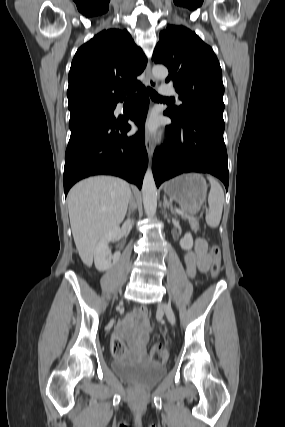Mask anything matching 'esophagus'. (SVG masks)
<instances>
[{"label": "esophagus", "instance_id": "esophagus-1", "mask_svg": "<svg viewBox=\"0 0 285 427\" xmlns=\"http://www.w3.org/2000/svg\"><path fill=\"white\" fill-rule=\"evenodd\" d=\"M145 75H146L147 85L151 88H156L157 87V81L155 80V78L153 77V75L151 73L150 62H148L147 66H146ZM145 145H146V150H147L148 156H149V158H151L153 156L155 146H154L153 139L148 132H146Z\"/></svg>", "mask_w": 285, "mask_h": 427}]
</instances>
